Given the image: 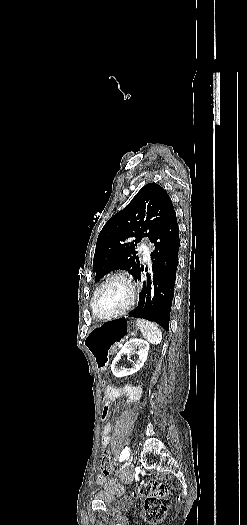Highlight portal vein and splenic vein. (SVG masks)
Here are the masks:
<instances>
[{"instance_id":"obj_1","label":"portal vein and splenic vein","mask_w":247,"mask_h":525,"mask_svg":"<svg viewBox=\"0 0 247 525\" xmlns=\"http://www.w3.org/2000/svg\"><path fill=\"white\" fill-rule=\"evenodd\" d=\"M123 346V343H119L118 348H121Z\"/></svg>"}]
</instances>
